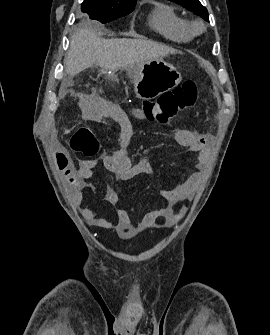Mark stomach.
<instances>
[{
    "label": "stomach",
    "mask_w": 270,
    "mask_h": 335,
    "mask_svg": "<svg viewBox=\"0 0 270 335\" xmlns=\"http://www.w3.org/2000/svg\"><path fill=\"white\" fill-rule=\"evenodd\" d=\"M134 76V92L140 100H154L166 90H172L180 84L181 74L171 64L160 60H153L141 67H131Z\"/></svg>",
    "instance_id": "obj_1"
}]
</instances>
